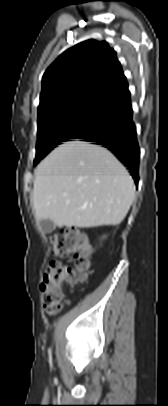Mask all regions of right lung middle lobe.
<instances>
[{"label":"right lung middle lobe","mask_w":168,"mask_h":406,"mask_svg":"<svg viewBox=\"0 0 168 406\" xmlns=\"http://www.w3.org/2000/svg\"><path fill=\"white\" fill-rule=\"evenodd\" d=\"M108 117V104L102 101H82L44 115L37 122L34 165L61 142L80 138Z\"/></svg>","instance_id":"1"}]
</instances>
